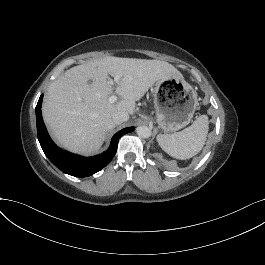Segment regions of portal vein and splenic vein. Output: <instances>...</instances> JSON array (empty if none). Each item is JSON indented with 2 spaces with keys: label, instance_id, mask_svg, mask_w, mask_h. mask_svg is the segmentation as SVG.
<instances>
[{
  "label": "portal vein and splenic vein",
  "instance_id": "1",
  "mask_svg": "<svg viewBox=\"0 0 265 265\" xmlns=\"http://www.w3.org/2000/svg\"><path fill=\"white\" fill-rule=\"evenodd\" d=\"M119 78H120V76H115V77H114V81H115V82H118ZM108 82H109L110 84H113V81H112V80H110V81H108ZM108 100H109L110 103H114V102L117 101V96L112 95V96L109 97Z\"/></svg>",
  "mask_w": 265,
  "mask_h": 265
}]
</instances>
